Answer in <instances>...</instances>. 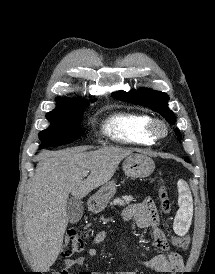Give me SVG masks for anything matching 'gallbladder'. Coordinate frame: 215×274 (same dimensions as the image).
Returning <instances> with one entry per match:
<instances>
[{"label": "gallbladder", "instance_id": "obj_1", "mask_svg": "<svg viewBox=\"0 0 215 274\" xmlns=\"http://www.w3.org/2000/svg\"><path fill=\"white\" fill-rule=\"evenodd\" d=\"M83 202L75 197L69 199L67 204V215L71 223H77L83 215Z\"/></svg>", "mask_w": 215, "mask_h": 274}]
</instances>
